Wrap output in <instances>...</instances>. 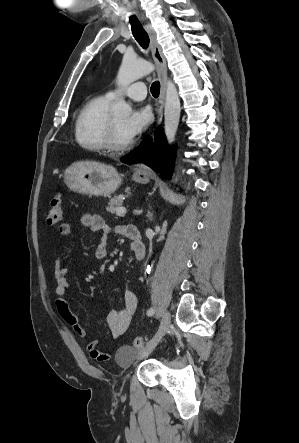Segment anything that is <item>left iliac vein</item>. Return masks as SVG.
I'll use <instances>...</instances> for the list:
<instances>
[{
    "mask_svg": "<svg viewBox=\"0 0 299 443\" xmlns=\"http://www.w3.org/2000/svg\"><path fill=\"white\" fill-rule=\"evenodd\" d=\"M170 324H171V316H170V313L168 311H166L162 316L160 327H159L157 333L151 339V341L148 343L145 350H143L142 352H140L137 355V360L143 359L144 357L149 355L154 350V348L159 343L161 338L168 332V330L170 328Z\"/></svg>",
    "mask_w": 299,
    "mask_h": 443,
    "instance_id": "1",
    "label": "left iliac vein"
}]
</instances>
